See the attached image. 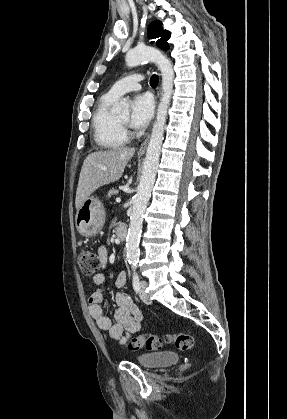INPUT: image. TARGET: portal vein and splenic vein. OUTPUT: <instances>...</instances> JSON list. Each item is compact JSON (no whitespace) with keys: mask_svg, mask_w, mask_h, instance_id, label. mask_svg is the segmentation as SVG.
<instances>
[{"mask_svg":"<svg viewBox=\"0 0 287 419\" xmlns=\"http://www.w3.org/2000/svg\"><path fill=\"white\" fill-rule=\"evenodd\" d=\"M116 202H117V203H120V202H121V198H120V197H117V198H116Z\"/></svg>","mask_w":287,"mask_h":419,"instance_id":"portal-vein-and-splenic-vein-1","label":"portal vein and splenic vein"}]
</instances>
